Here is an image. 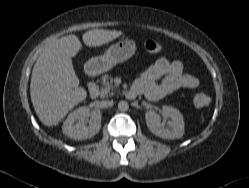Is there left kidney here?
I'll list each match as a JSON object with an SVG mask.
<instances>
[{
  "mask_svg": "<svg viewBox=\"0 0 249 188\" xmlns=\"http://www.w3.org/2000/svg\"><path fill=\"white\" fill-rule=\"evenodd\" d=\"M161 115L164 118L169 117L167 122L169 128L165 129L161 123L160 114L155 111H147L145 113L146 124L148 129L156 136L163 139H179L184 134V120L180 111L172 106H163Z\"/></svg>",
  "mask_w": 249,
  "mask_h": 188,
  "instance_id": "1",
  "label": "left kidney"
}]
</instances>
